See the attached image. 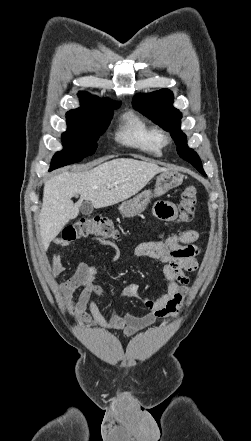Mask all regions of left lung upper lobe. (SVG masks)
<instances>
[{"instance_id": "1", "label": "left lung upper lobe", "mask_w": 251, "mask_h": 441, "mask_svg": "<svg viewBox=\"0 0 251 441\" xmlns=\"http://www.w3.org/2000/svg\"><path fill=\"white\" fill-rule=\"evenodd\" d=\"M132 105L140 113L169 131L177 145L179 156L206 176L199 156L187 146L186 135L180 129L182 114L173 107V93L170 90L161 89L150 94H137L133 98Z\"/></svg>"}]
</instances>
